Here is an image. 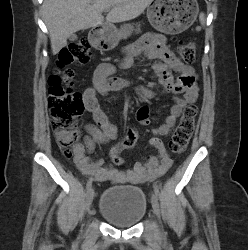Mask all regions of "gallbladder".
<instances>
[{"label":"gallbladder","instance_id":"gallbladder-1","mask_svg":"<svg viewBox=\"0 0 248 250\" xmlns=\"http://www.w3.org/2000/svg\"><path fill=\"white\" fill-rule=\"evenodd\" d=\"M69 39H70L71 41L76 40V39H77V35H76V34H72V35L69 37Z\"/></svg>","mask_w":248,"mask_h":250}]
</instances>
